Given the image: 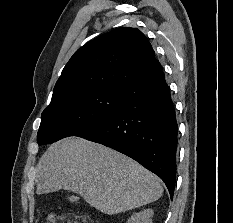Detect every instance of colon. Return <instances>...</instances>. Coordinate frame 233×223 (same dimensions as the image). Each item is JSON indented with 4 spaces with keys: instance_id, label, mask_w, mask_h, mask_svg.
I'll return each mask as SVG.
<instances>
[{
    "instance_id": "obj_1",
    "label": "colon",
    "mask_w": 233,
    "mask_h": 223,
    "mask_svg": "<svg viewBox=\"0 0 233 223\" xmlns=\"http://www.w3.org/2000/svg\"><path fill=\"white\" fill-rule=\"evenodd\" d=\"M47 223H92L91 219L83 215L65 214L57 215L50 213Z\"/></svg>"
}]
</instances>
